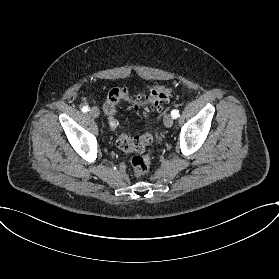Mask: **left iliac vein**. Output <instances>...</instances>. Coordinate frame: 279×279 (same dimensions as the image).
<instances>
[{"mask_svg": "<svg viewBox=\"0 0 279 279\" xmlns=\"http://www.w3.org/2000/svg\"><path fill=\"white\" fill-rule=\"evenodd\" d=\"M165 125H166L167 128H172V126H173V119H172V117L167 116L165 118Z\"/></svg>", "mask_w": 279, "mask_h": 279, "instance_id": "4c4485c4", "label": "left iliac vein"}]
</instances>
